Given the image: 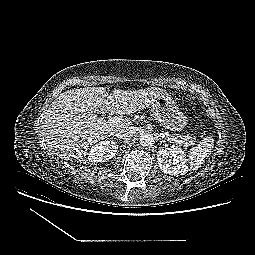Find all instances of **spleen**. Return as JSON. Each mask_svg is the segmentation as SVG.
Masks as SVG:
<instances>
[{"label":"spleen","instance_id":"spleen-1","mask_svg":"<svg viewBox=\"0 0 255 255\" xmlns=\"http://www.w3.org/2000/svg\"><path fill=\"white\" fill-rule=\"evenodd\" d=\"M214 147V140L209 136L202 140L196 147L189 152V160L192 169H198L201 164L209 157Z\"/></svg>","mask_w":255,"mask_h":255}]
</instances>
